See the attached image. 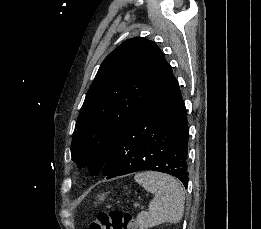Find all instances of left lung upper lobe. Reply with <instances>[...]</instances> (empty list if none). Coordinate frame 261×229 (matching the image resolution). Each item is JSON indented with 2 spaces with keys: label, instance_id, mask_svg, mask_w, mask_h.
<instances>
[{
  "label": "left lung upper lobe",
  "instance_id": "1",
  "mask_svg": "<svg viewBox=\"0 0 261 229\" xmlns=\"http://www.w3.org/2000/svg\"><path fill=\"white\" fill-rule=\"evenodd\" d=\"M160 48L141 37L126 40L102 62L80 110L72 160L95 175L132 117L171 76Z\"/></svg>",
  "mask_w": 261,
  "mask_h": 229
}]
</instances>
